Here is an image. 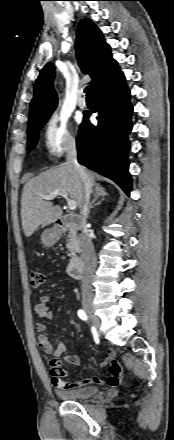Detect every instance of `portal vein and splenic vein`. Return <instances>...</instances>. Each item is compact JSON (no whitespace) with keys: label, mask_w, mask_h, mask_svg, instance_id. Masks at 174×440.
I'll return each mask as SVG.
<instances>
[{"label":"portal vein and splenic vein","mask_w":174,"mask_h":440,"mask_svg":"<svg viewBox=\"0 0 174 440\" xmlns=\"http://www.w3.org/2000/svg\"><path fill=\"white\" fill-rule=\"evenodd\" d=\"M57 196H61V197L66 199L68 208L70 210H75L76 209V207H77L76 201L72 200V199H69L67 192L64 191V190H59L58 189V190H55V191L51 192L49 195H42L41 197L43 199H45V200H52V199H54Z\"/></svg>","instance_id":"1"}]
</instances>
